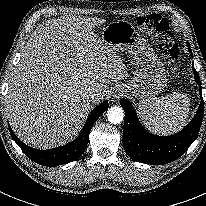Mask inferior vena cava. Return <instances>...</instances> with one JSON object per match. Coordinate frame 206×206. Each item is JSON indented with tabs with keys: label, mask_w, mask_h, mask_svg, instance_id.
Returning a JSON list of instances; mask_svg holds the SVG:
<instances>
[{
	"label": "inferior vena cava",
	"mask_w": 206,
	"mask_h": 206,
	"mask_svg": "<svg viewBox=\"0 0 206 206\" xmlns=\"http://www.w3.org/2000/svg\"><path fill=\"white\" fill-rule=\"evenodd\" d=\"M102 99V95L100 93H92L90 94V100L92 102L100 101Z\"/></svg>",
	"instance_id": "602c4592"
}]
</instances>
